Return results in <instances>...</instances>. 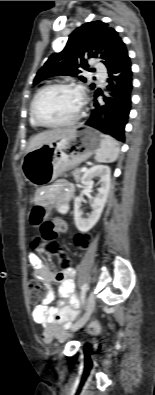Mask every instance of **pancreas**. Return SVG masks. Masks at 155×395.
<instances>
[{
  "instance_id": "cf45deb5",
  "label": "pancreas",
  "mask_w": 155,
  "mask_h": 395,
  "mask_svg": "<svg viewBox=\"0 0 155 395\" xmlns=\"http://www.w3.org/2000/svg\"><path fill=\"white\" fill-rule=\"evenodd\" d=\"M71 175L74 177L76 182H79L81 180V171L80 169L76 168L75 170L72 171ZM67 176V175H65Z\"/></svg>"
}]
</instances>
